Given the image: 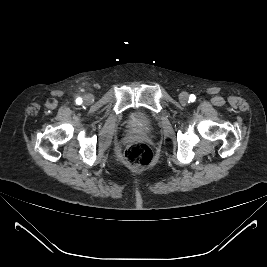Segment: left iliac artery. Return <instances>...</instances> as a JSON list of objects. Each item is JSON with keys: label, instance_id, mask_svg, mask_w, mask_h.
I'll list each match as a JSON object with an SVG mask.
<instances>
[{"label": "left iliac artery", "instance_id": "1", "mask_svg": "<svg viewBox=\"0 0 267 267\" xmlns=\"http://www.w3.org/2000/svg\"><path fill=\"white\" fill-rule=\"evenodd\" d=\"M195 99H196L195 95L191 94L189 97V101L193 102L195 101Z\"/></svg>", "mask_w": 267, "mask_h": 267}]
</instances>
